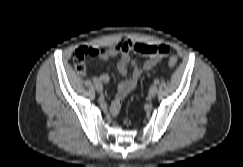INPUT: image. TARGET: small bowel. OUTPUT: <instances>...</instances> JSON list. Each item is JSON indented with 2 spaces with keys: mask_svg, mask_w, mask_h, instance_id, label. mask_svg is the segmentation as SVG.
Returning <instances> with one entry per match:
<instances>
[{
  "mask_svg": "<svg viewBox=\"0 0 243 167\" xmlns=\"http://www.w3.org/2000/svg\"><path fill=\"white\" fill-rule=\"evenodd\" d=\"M91 56L99 58H113L119 56L117 69L124 77L118 84L117 93L110 107V113L117 116L120 112L121 101L136 87L138 80L143 73L151 70L157 63L165 57L170 47L165 44H151L144 42H131L121 40L116 45L109 48H90ZM145 57L142 63H138L130 56V51ZM132 67V73L128 76L129 68ZM97 79L103 83H108L110 77L108 74H101Z\"/></svg>",
  "mask_w": 243,
  "mask_h": 167,
  "instance_id": "1",
  "label": "small bowel"
}]
</instances>
